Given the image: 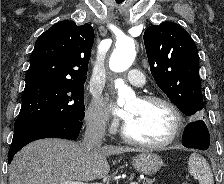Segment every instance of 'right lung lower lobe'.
I'll list each match as a JSON object with an SVG mask.
<instances>
[{
    "label": "right lung lower lobe",
    "instance_id": "1",
    "mask_svg": "<svg viewBox=\"0 0 224 184\" xmlns=\"http://www.w3.org/2000/svg\"><path fill=\"white\" fill-rule=\"evenodd\" d=\"M82 122L65 120H44L28 124L14 131L12 144L8 154V163L13 156L26 144L42 138H63L75 140L78 138Z\"/></svg>",
    "mask_w": 224,
    "mask_h": 184
}]
</instances>
